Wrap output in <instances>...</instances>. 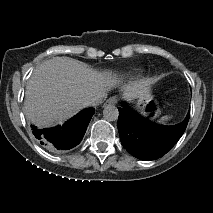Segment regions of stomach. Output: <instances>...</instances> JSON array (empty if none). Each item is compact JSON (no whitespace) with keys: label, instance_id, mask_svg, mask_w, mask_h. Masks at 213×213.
I'll list each match as a JSON object with an SVG mask.
<instances>
[{"label":"stomach","instance_id":"stomach-1","mask_svg":"<svg viewBox=\"0 0 213 213\" xmlns=\"http://www.w3.org/2000/svg\"><path fill=\"white\" fill-rule=\"evenodd\" d=\"M137 107L143 111L146 110L147 105L153 100V97L148 93L147 95H140L137 98Z\"/></svg>","mask_w":213,"mask_h":213}]
</instances>
